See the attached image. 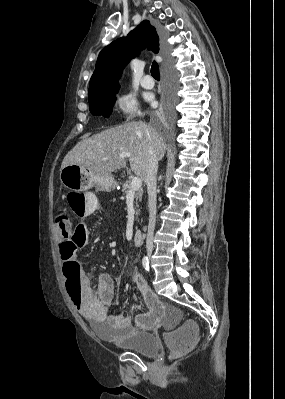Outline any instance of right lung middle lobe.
<instances>
[{"instance_id":"dd1d6c3e","label":"right lung middle lobe","mask_w":285,"mask_h":399,"mask_svg":"<svg viewBox=\"0 0 285 399\" xmlns=\"http://www.w3.org/2000/svg\"><path fill=\"white\" fill-rule=\"evenodd\" d=\"M117 92L105 93L89 99V109L93 115H101L107 118L111 112L113 103L116 100Z\"/></svg>"}]
</instances>
